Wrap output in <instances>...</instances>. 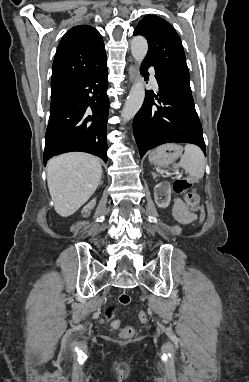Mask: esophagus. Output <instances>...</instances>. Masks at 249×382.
I'll return each mask as SVG.
<instances>
[{
  "instance_id": "esophagus-1",
  "label": "esophagus",
  "mask_w": 249,
  "mask_h": 382,
  "mask_svg": "<svg viewBox=\"0 0 249 382\" xmlns=\"http://www.w3.org/2000/svg\"><path fill=\"white\" fill-rule=\"evenodd\" d=\"M129 77L131 82H133L137 77V67L135 64L129 67Z\"/></svg>"
}]
</instances>
